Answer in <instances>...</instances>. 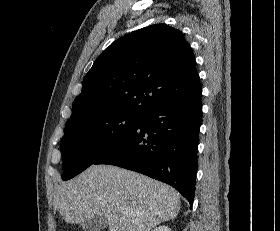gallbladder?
Masks as SVG:
<instances>
[{
    "instance_id": "1",
    "label": "gallbladder",
    "mask_w": 280,
    "mask_h": 231,
    "mask_svg": "<svg viewBox=\"0 0 280 231\" xmlns=\"http://www.w3.org/2000/svg\"><path fill=\"white\" fill-rule=\"evenodd\" d=\"M80 225L85 231H101V229H105L107 221L106 217H103V215H96V217L85 219Z\"/></svg>"
}]
</instances>
